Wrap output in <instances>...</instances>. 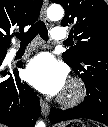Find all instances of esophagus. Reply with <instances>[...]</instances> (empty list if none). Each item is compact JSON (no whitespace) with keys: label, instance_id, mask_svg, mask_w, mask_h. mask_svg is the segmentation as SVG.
<instances>
[{"label":"esophagus","instance_id":"34e87169","mask_svg":"<svg viewBox=\"0 0 108 127\" xmlns=\"http://www.w3.org/2000/svg\"><path fill=\"white\" fill-rule=\"evenodd\" d=\"M47 7H48V0H43V5L41 8V19L47 24L49 25V20L46 16V11H47ZM40 106H41V111H42V115L44 117H47L49 115L50 112V105L45 102L44 100H40Z\"/></svg>","mask_w":108,"mask_h":127}]
</instances>
